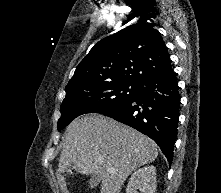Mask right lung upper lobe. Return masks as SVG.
Returning a JSON list of instances; mask_svg holds the SVG:
<instances>
[{
  "mask_svg": "<svg viewBox=\"0 0 221 193\" xmlns=\"http://www.w3.org/2000/svg\"><path fill=\"white\" fill-rule=\"evenodd\" d=\"M128 26L96 43L77 66L66 89L114 82L142 83L151 76L171 72L167 47L155 25Z\"/></svg>",
  "mask_w": 221,
  "mask_h": 193,
  "instance_id": "right-lung-upper-lobe-1",
  "label": "right lung upper lobe"
}]
</instances>
